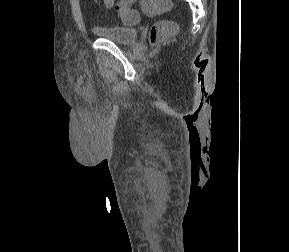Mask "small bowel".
Listing matches in <instances>:
<instances>
[{
  "mask_svg": "<svg viewBox=\"0 0 289 252\" xmlns=\"http://www.w3.org/2000/svg\"><path fill=\"white\" fill-rule=\"evenodd\" d=\"M106 8H112L115 5L116 0H102Z\"/></svg>",
  "mask_w": 289,
  "mask_h": 252,
  "instance_id": "c3829d8e",
  "label": "small bowel"
}]
</instances>
